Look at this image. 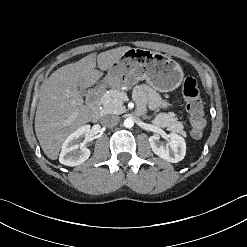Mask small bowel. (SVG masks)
<instances>
[{
	"mask_svg": "<svg viewBox=\"0 0 247 247\" xmlns=\"http://www.w3.org/2000/svg\"><path fill=\"white\" fill-rule=\"evenodd\" d=\"M134 98L138 104L140 111H143L146 106L151 109H158L166 106L162 98L147 85H139L134 90Z\"/></svg>",
	"mask_w": 247,
	"mask_h": 247,
	"instance_id": "c3829d8e",
	"label": "small bowel"
}]
</instances>
